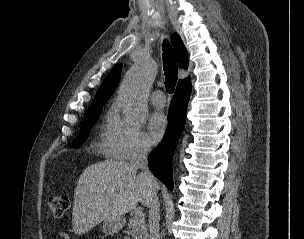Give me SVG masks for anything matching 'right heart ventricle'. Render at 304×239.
<instances>
[{
	"label": "right heart ventricle",
	"mask_w": 304,
	"mask_h": 239,
	"mask_svg": "<svg viewBox=\"0 0 304 239\" xmlns=\"http://www.w3.org/2000/svg\"><path fill=\"white\" fill-rule=\"evenodd\" d=\"M109 123H110V119H108L105 124L102 126V136L104 135V133L106 132L108 126H109Z\"/></svg>",
	"instance_id": "right-heart-ventricle-1"
}]
</instances>
